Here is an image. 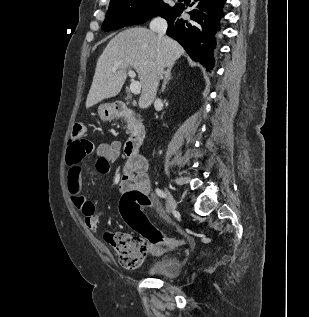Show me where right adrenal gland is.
<instances>
[{"label": "right adrenal gland", "instance_id": "2a0ac1e0", "mask_svg": "<svg viewBox=\"0 0 309 317\" xmlns=\"http://www.w3.org/2000/svg\"><path fill=\"white\" fill-rule=\"evenodd\" d=\"M171 70H172V68L169 67L167 69V71L165 72L164 82H163L162 89H161L162 92H164V90L166 88V84L168 83V81L172 79Z\"/></svg>", "mask_w": 309, "mask_h": 317}]
</instances>
